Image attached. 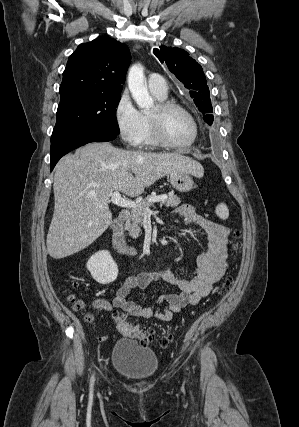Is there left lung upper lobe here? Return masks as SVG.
Wrapping results in <instances>:
<instances>
[{
  "instance_id": "left-lung-upper-lobe-1",
  "label": "left lung upper lobe",
  "mask_w": 299,
  "mask_h": 427,
  "mask_svg": "<svg viewBox=\"0 0 299 427\" xmlns=\"http://www.w3.org/2000/svg\"><path fill=\"white\" fill-rule=\"evenodd\" d=\"M160 62H165L169 70L190 90L198 110L204 114L203 119L209 125L213 122L212 105L209 88L202 67L189 53L180 48L161 46L156 53Z\"/></svg>"
}]
</instances>
